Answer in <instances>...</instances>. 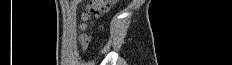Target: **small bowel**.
I'll use <instances>...</instances> for the list:
<instances>
[{"label":"small bowel","instance_id":"obj_1","mask_svg":"<svg viewBox=\"0 0 232 65\" xmlns=\"http://www.w3.org/2000/svg\"><path fill=\"white\" fill-rule=\"evenodd\" d=\"M89 37L85 34L80 35V43L83 48H85L88 45Z\"/></svg>","mask_w":232,"mask_h":65}]
</instances>
